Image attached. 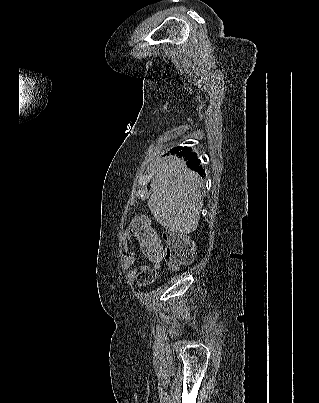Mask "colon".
Instances as JSON below:
<instances>
[{"instance_id":"5ec220e1","label":"colon","mask_w":319,"mask_h":403,"mask_svg":"<svg viewBox=\"0 0 319 403\" xmlns=\"http://www.w3.org/2000/svg\"><path fill=\"white\" fill-rule=\"evenodd\" d=\"M131 229L138 239V247L143 249L152 263H158L164 258L167 267L175 270L193 262L195 244L185 234L165 232L160 237L145 215L136 216L131 223ZM156 277L157 272L149 269L140 273L139 282L145 286L152 283Z\"/></svg>"}]
</instances>
